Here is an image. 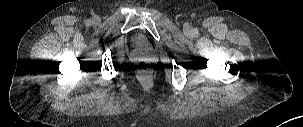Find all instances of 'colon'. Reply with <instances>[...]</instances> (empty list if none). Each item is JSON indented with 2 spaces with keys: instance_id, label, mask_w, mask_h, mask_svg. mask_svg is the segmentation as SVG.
Segmentation results:
<instances>
[{
  "instance_id": "colon-1",
  "label": "colon",
  "mask_w": 303,
  "mask_h": 127,
  "mask_svg": "<svg viewBox=\"0 0 303 127\" xmlns=\"http://www.w3.org/2000/svg\"><path fill=\"white\" fill-rule=\"evenodd\" d=\"M143 67L146 69V68H147V65L144 64Z\"/></svg>"
}]
</instances>
